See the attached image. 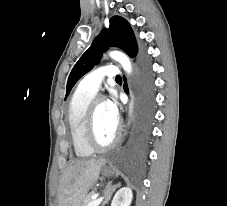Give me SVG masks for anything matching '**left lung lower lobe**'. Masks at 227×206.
<instances>
[{"label":"left lung lower lobe","instance_id":"1","mask_svg":"<svg viewBox=\"0 0 227 206\" xmlns=\"http://www.w3.org/2000/svg\"><path fill=\"white\" fill-rule=\"evenodd\" d=\"M141 84V114L136 147H144L151 137V129L154 117V85L150 64L142 53L138 59ZM126 81V79L124 78ZM125 91H128L127 84H124Z\"/></svg>","mask_w":227,"mask_h":206}]
</instances>
